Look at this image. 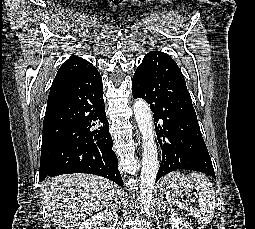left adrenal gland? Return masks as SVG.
Instances as JSON below:
<instances>
[{"mask_svg":"<svg viewBox=\"0 0 255 229\" xmlns=\"http://www.w3.org/2000/svg\"><path fill=\"white\" fill-rule=\"evenodd\" d=\"M159 207L163 210L166 209V203L163 202V200H159Z\"/></svg>","mask_w":255,"mask_h":229,"instance_id":"1","label":"left adrenal gland"}]
</instances>
